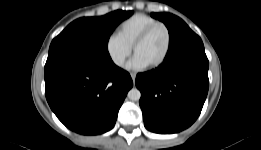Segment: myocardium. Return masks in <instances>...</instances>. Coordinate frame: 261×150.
<instances>
[{
    "label": "myocardium",
    "instance_id": "1",
    "mask_svg": "<svg viewBox=\"0 0 261 150\" xmlns=\"http://www.w3.org/2000/svg\"><path fill=\"white\" fill-rule=\"evenodd\" d=\"M158 27H162L167 35V46H166V50L163 54V56L154 64L150 65L149 68L151 69H156L158 67H160L161 65H163L166 60L169 57L170 51H171V46H172V35H171V31L169 29V27L163 23V22H157L154 23L150 26H148L139 36L138 38L135 40L132 49L133 52L135 54L137 48L150 36V34Z\"/></svg>",
    "mask_w": 261,
    "mask_h": 150
}]
</instances>
